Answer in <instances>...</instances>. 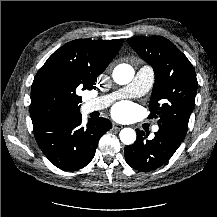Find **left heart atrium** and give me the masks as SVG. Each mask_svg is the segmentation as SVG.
<instances>
[{"label":"left heart atrium","instance_id":"1","mask_svg":"<svg viewBox=\"0 0 217 217\" xmlns=\"http://www.w3.org/2000/svg\"><path fill=\"white\" fill-rule=\"evenodd\" d=\"M133 111V108L131 105L127 103H120L117 104L113 109V114L115 117L124 119L127 118Z\"/></svg>","mask_w":217,"mask_h":217}]
</instances>
